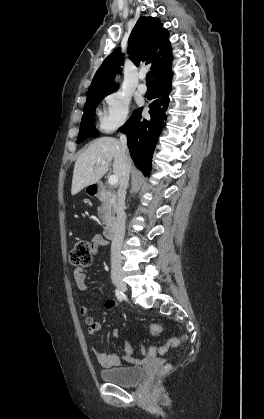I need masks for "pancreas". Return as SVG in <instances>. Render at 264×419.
<instances>
[{"label":"pancreas","mask_w":264,"mask_h":419,"mask_svg":"<svg viewBox=\"0 0 264 419\" xmlns=\"http://www.w3.org/2000/svg\"><path fill=\"white\" fill-rule=\"evenodd\" d=\"M116 205L111 198H103L102 205L98 208V215L104 224L109 223L115 213Z\"/></svg>","instance_id":"obj_1"}]
</instances>
